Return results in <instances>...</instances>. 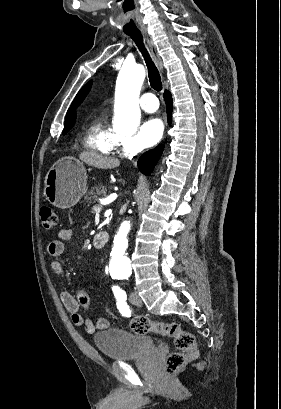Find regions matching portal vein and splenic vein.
<instances>
[{
	"mask_svg": "<svg viewBox=\"0 0 281 409\" xmlns=\"http://www.w3.org/2000/svg\"><path fill=\"white\" fill-rule=\"evenodd\" d=\"M100 209H101L100 204L96 202V203L93 204V206L91 207L90 210H91L92 213H94V214L97 213V214H98V212L100 211Z\"/></svg>",
	"mask_w": 281,
	"mask_h": 409,
	"instance_id": "obj_1",
	"label": "portal vein and splenic vein"
}]
</instances>
